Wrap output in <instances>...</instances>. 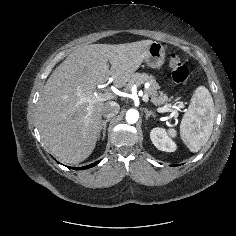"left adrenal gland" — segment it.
I'll return each mask as SVG.
<instances>
[{"mask_svg":"<svg viewBox=\"0 0 236 236\" xmlns=\"http://www.w3.org/2000/svg\"><path fill=\"white\" fill-rule=\"evenodd\" d=\"M144 110L146 113V117H145L146 120H148L150 116H153L154 118L156 117L153 111H149L147 108H145Z\"/></svg>","mask_w":236,"mask_h":236,"instance_id":"left-adrenal-gland-1","label":"left adrenal gland"}]
</instances>
